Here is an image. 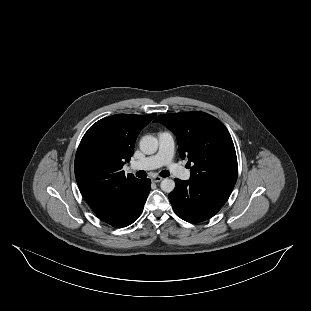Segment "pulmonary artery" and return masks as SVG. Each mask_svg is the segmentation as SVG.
Instances as JSON below:
<instances>
[{
  "label": "pulmonary artery",
  "instance_id": "e3ab8cb5",
  "mask_svg": "<svg viewBox=\"0 0 311 311\" xmlns=\"http://www.w3.org/2000/svg\"><path fill=\"white\" fill-rule=\"evenodd\" d=\"M175 156V141L168 131L158 133V151L151 157L144 158L131 164L133 170L151 171L160 167H167L172 173L183 180H189L191 173L181 165L173 162Z\"/></svg>",
  "mask_w": 311,
  "mask_h": 311
}]
</instances>
